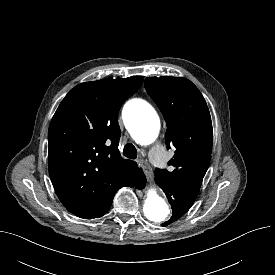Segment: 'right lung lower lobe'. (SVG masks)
I'll use <instances>...</instances> for the list:
<instances>
[{
    "label": "right lung lower lobe",
    "mask_w": 275,
    "mask_h": 275,
    "mask_svg": "<svg viewBox=\"0 0 275 275\" xmlns=\"http://www.w3.org/2000/svg\"><path fill=\"white\" fill-rule=\"evenodd\" d=\"M145 176L142 172H140V169L138 167H136L132 174L127 178L126 182L124 183V186H130V187H134L136 186V188H143L145 185ZM109 210V209H108ZM107 210V211H108ZM106 211V212H107ZM105 212V213H106ZM104 213V214H105ZM103 214V215H104ZM102 215V216H103Z\"/></svg>",
    "instance_id": "1"
}]
</instances>
